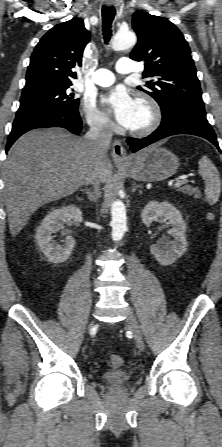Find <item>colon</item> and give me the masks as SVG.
I'll use <instances>...</instances> for the list:
<instances>
[{
	"mask_svg": "<svg viewBox=\"0 0 222 447\" xmlns=\"http://www.w3.org/2000/svg\"><path fill=\"white\" fill-rule=\"evenodd\" d=\"M109 365L113 368L120 367L122 365V358L119 355H112L109 359Z\"/></svg>",
	"mask_w": 222,
	"mask_h": 447,
	"instance_id": "colon-1",
	"label": "colon"
}]
</instances>
